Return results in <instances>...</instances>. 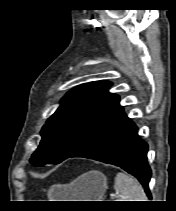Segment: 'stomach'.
Here are the masks:
<instances>
[{"label":"stomach","mask_w":176,"mask_h":211,"mask_svg":"<svg viewBox=\"0 0 176 211\" xmlns=\"http://www.w3.org/2000/svg\"><path fill=\"white\" fill-rule=\"evenodd\" d=\"M107 188L106 176L99 171H90L68 186H54L52 192L71 201H102Z\"/></svg>","instance_id":"1"}]
</instances>
